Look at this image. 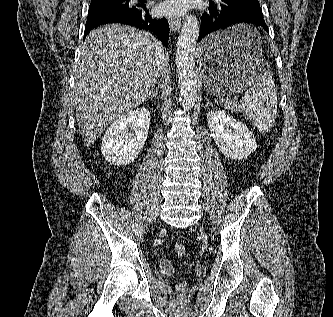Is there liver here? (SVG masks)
Segmentation results:
<instances>
[{"instance_id":"obj_1","label":"liver","mask_w":333,"mask_h":317,"mask_svg":"<svg viewBox=\"0 0 333 317\" xmlns=\"http://www.w3.org/2000/svg\"><path fill=\"white\" fill-rule=\"evenodd\" d=\"M168 62L163 45L151 34L125 25L92 31L81 48L75 75L74 105L87 147L118 117L142 104L152 93Z\"/></svg>"}]
</instances>
